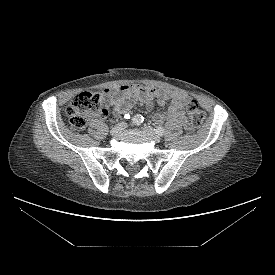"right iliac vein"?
I'll use <instances>...</instances> for the list:
<instances>
[{"label": "right iliac vein", "mask_w": 275, "mask_h": 275, "mask_svg": "<svg viewBox=\"0 0 275 275\" xmlns=\"http://www.w3.org/2000/svg\"><path fill=\"white\" fill-rule=\"evenodd\" d=\"M125 128H126V123L120 122L112 128L110 133H111V135H116V134L122 132Z\"/></svg>", "instance_id": "1"}]
</instances>
